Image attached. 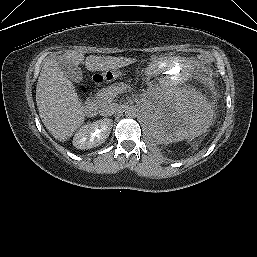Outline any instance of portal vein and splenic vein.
<instances>
[{"mask_svg": "<svg viewBox=\"0 0 257 257\" xmlns=\"http://www.w3.org/2000/svg\"><path fill=\"white\" fill-rule=\"evenodd\" d=\"M122 91V89L120 90V89H118L114 94L116 95V94H118L119 92H121Z\"/></svg>", "mask_w": 257, "mask_h": 257, "instance_id": "18ae733b", "label": "portal vein and splenic vein"}]
</instances>
